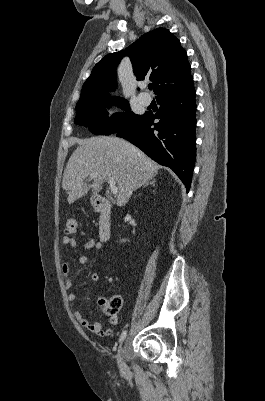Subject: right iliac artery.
I'll use <instances>...</instances> for the list:
<instances>
[{
  "mask_svg": "<svg viewBox=\"0 0 265 401\" xmlns=\"http://www.w3.org/2000/svg\"><path fill=\"white\" fill-rule=\"evenodd\" d=\"M126 335H127V331L124 330L120 335L119 342H123V340L126 338Z\"/></svg>",
  "mask_w": 265,
  "mask_h": 401,
  "instance_id": "obj_1",
  "label": "right iliac artery"
}]
</instances>
